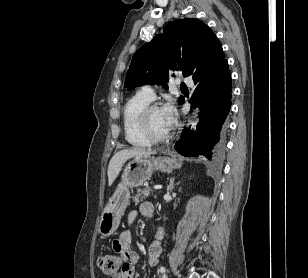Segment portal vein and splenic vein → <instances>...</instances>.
I'll list each match as a JSON object with an SVG mask.
<instances>
[{
    "label": "portal vein and splenic vein",
    "instance_id": "1",
    "mask_svg": "<svg viewBox=\"0 0 308 278\" xmlns=\"http://www.w3.org/2000/svg\"><path fill=\"white\" fill-rule=\"evenodd\" d=\"M162 188V185H155L154 187H153V189H155V190H159V189H161Z\"/></svg>",
    "mask_w": 308,
    "mask_h": 278
}]
</instances>
